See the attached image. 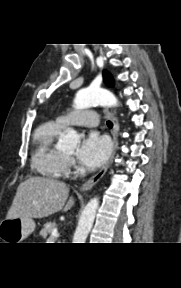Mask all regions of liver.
<instances>
[{"instance_id":"1","label":"liver","mask_w":181,"mask_h":288,"mask_svg":"<svg viewBox=\"0 0 181 288\" xmlns=\"http://www.w3.org/2000/svg\"><path fill=\"white\" fill-rule=\"evenodd\" d=\"M68 195L69 187L62 181L29 177L18 186L6 218H44L61 210L66 212L75 203L73 197L67 201Z\"/></svg>"}]
</instances>
